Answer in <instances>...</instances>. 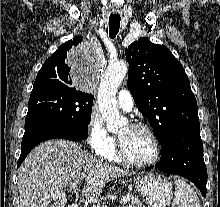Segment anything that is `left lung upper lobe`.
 Segmentation results:
<instances>
[{
	"label": "left lung upper lobe",
	"mask_w": 220,
	"mask_h": 207,
	"mask_svg": "<svg viewBox=\"0 0 220 207\" xmlns=\"http://www.w3.org/2000/svg\"><path fill=\"white\" fill-rule=\"evenodd\" d=\"M128 87L164 145L179 130L199 125L197 102L181 63L163 46L140 38L125 50Z\"/></svg>",
	"instance_id": "5c2ea615"
}]
</instances>
